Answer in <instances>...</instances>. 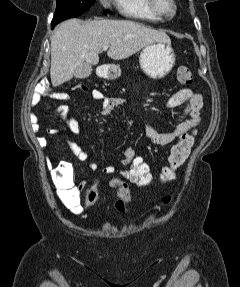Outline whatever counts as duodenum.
Masks as SVG:
<instances>
[{
    "label": "duodenum",
    "mask_w": 240,
    "mask_h": 287,
    "mask_svg": "<svg viewBox=\"0 0 240 287\" xmlns=\"http://www.w3.org/2000/svg\"><path fill=\"white\" fill-rule=\"evenodd\" d=\"M98 70H99V77L101 78H107L109 77L110 75V69H109V66L107 64H101L99 67H98Z\"/></svg>",
    "instance_id": "410a0bca"
}]
</instances>
